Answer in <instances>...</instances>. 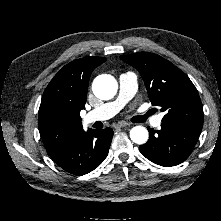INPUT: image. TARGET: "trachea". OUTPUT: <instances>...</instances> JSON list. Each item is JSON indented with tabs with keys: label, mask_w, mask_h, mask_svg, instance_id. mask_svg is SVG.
<instances>
[{
	"label": "trachea",
	"mask_w": 221,
	"mask_h": 221,
	"mask_svg": "<svg viewBox=\"0 0 221 221\" xmlns=\"http://www.w3.org/2000/svg\"><path fill=\"white\" fill-rule=\"evenodd\" d=\"M152 114V112L151 111H149L146 115H144V116H137V117H135V120H136V122H140V123H142V122H144L145 120H146V118L149 116V115H151Z\"/></svg>",
	"instance_id": "obj_1"
}]
</instances>
